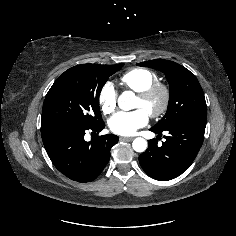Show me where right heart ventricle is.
Returning <instances> with one entry per match:
<instances>
[{"label":"right heart ventricle","instance_id":"right-heart-ventricle-1","mask_svg":"<svg viewBox=\"0 0 236 236\" xmlns=\"http://www.w3.org/2000/svg\"><path fill=\"white\" fill-rule=\"evenodd\" d=\"M120 82L125 88L139 93L158 83V76L149 69L133 68L121 76Z\"/></svg>","mask_w":236,"mask_h":236}]
</instances>
